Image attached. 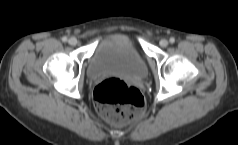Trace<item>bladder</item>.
<instances>
[{"label":"bladder","mask_w":238,"mask_h":145,"mask_svg":"<svg viewBox=\"0 0 238 145\" xmlns=\"http://www.w3.org/2000/svg\"><path fill=\"white\" fill-rule=\"evenodd\" d=\"M86 73L95 79L103 75L116 73L132 79H143L147 76V63L141 49L128 36L106 40L91 55Z\"/></svg>","instance_id":"1"}]
</instances>
